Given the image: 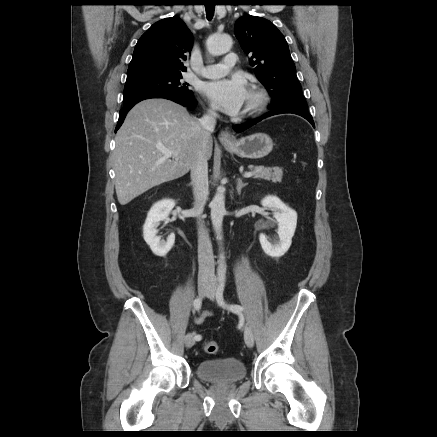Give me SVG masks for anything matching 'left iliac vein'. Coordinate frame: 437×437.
<instances>
[{
	"mask_svg": "<svg viewBox=\"0 0 437 437\" xmlns=\"http://www.w3.org/2000/svg\"><path fill=\"white\" fill-rule=\"evenodd\" d=\"M207 297L210 298L211 300H214V298H215V289L214 288H211L209 290V292L207 293ZM244 340H245V343L248 347H250V348L253 347L254 336H253L251 328L248 326H245V328H244Z\"/></svg>",
	"mask_w": 437,
	"mask_h": 437,
	"instance_id": "left-iliac-vein-1",
	"label": "left iliac vein"
}]
</instances>
